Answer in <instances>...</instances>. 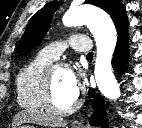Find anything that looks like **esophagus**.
Here are the masks:
<instances>
[{
    "label": "esophagus",
    "instance_id": "34e87169",
    "mask_svg": "<svg viewBox=\"0 0 142 128\" xmlns=\"http://www.w3.org/2000/svg\"><path fill=\"white\" fill-rule=\"evenodd\" d=\"M86 126H87L86 120L85 119H81L80 121H77L74 124L73 128H86Z\"/></svg>",
    "mask_w": 142,
    "mask_h": 128
}]
</instances>
